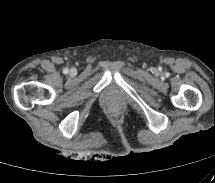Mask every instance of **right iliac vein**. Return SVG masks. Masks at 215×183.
<instances>
[{
    "mask_svg": "<svg viewBox=\"0 0 215 183\" xmlns=\"http://www.w3.org/2000/svg\"><path fill=\"white\" fill-rule=\"evenodd\" d=\"M70 72H71V74H74L75 71L72 69V70H70Z\"/></svg>",
    "mask_w": 215,
    "mask_h": 183,
    "instance_id": "right-iliac-vein-1",
    "label": "right iliac vein"
}]
</instances>
